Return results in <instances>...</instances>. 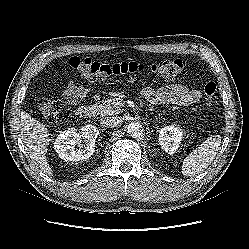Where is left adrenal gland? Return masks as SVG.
<instances>
[{"label": "left adrenal gland", "mask_w": 249, "mask_h": 249, "mask_svg": "<svg viewBox=\"0 0 249 249\" xmlns=\"http://www.w3.org/2000/svg\"><path fill=\"white\" fill-rule=\"evenodd\" d=\"M153 118L156 119V120H158V117H157V116H154Z\"/></svg>", "instance_id": "left-adrenal-gland-1"}]
</instances>
